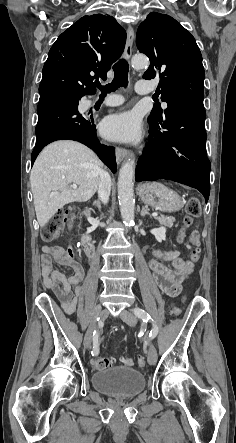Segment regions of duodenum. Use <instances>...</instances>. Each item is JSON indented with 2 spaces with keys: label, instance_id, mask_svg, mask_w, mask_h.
<instances>
[{
  "label": "duodenum",
  "instance_id": "1",
  "mask_svg": "<svg viewBox=\"0 0 236 443\" xmlns=\"http://www.w3.org/2000/svg\"><path fill=\"white\" fill-rule=\"evenodd\" d=\"M84 214L85 216L90 217L94 214V210L92 208H86ZM93 240V234L90 231H87L81 239L82 246L89 258L92 257L94 252Z\"/></svg>",
  "mask_w": 236,
  "mask_h": 443
}]
</instances>
